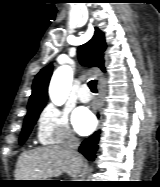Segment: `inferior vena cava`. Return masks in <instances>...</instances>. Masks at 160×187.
I'll return each mask as SVG.
<instances>
[{
    "label": "inferior vena cava",
    "mask_w": 160,
    "mask_h": 187,
    "mask_svg": "<svg viewBox=\"0 0 160 187\" xmlns=\"http://www.w3.org/2000/svg\"><path fill=\"white\" fill-rule=\"evenodd\" d=\"M64 147L66 148L67 152L73 156L76 162H80V157L77 152L79 141L73 134L69 135Z\"/></svg>",
    "instance_id": "obj_1"
}]
</instances>
